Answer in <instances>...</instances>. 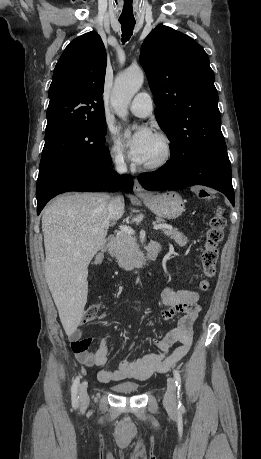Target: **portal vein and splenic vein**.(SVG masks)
Here are the masks:
<instances>
[{
    "mask_svg": "<svg viewBox=\"0 0 261 459\" xmlns=\"http://www.w3.org/2000/svg\"><path fill=\"white\" fill-rule=\"evenodd\" d=\"M153 228L155 230H159V229H172V226L168 225V224H154ZM120 230L122 232H125V233H128V234H134V230L127 226V225H121L120 226ZM96 231V230H95Z\"/></svg>",
    "mask_w": 261,
    "mask_h": 459,
    "instance_id": "obj_1",
    "label": "portal vein and splenic vein"
}]
</instances>
